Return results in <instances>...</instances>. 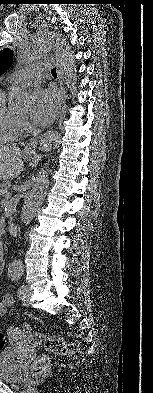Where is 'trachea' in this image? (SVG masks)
<instances>
[{
    "label": "trachea",
    "mask_w": 153,
    "mask_h": 393,
    "mask_svg": "<svg viewBox=\"0 0 153 393\" xmlns=\"http://www.w3.org/2000/svg\"><path fill=\"white\" fill-rule=\"evenodd\" d=\"M51 74H52L53 76H57L56 68H53V69L51 70Z\"/></svg>",
    "instance_id": "3493384b"
}]
</instances>
